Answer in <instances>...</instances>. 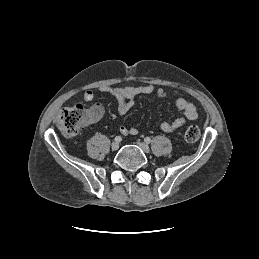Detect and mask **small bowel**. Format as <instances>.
Returning a JSON list of instances; mask_svg holds the SVG:
<instances>
[{"instance_id": "c3829d8e", "label": "small bowel", "mask_w": 259, "mask_h": 259, "mask_svg": "<svg viewBox=\"0 0 259 259\" xmlns=\"http://www.w3.org/2000/svg\"><path fill=\"white\" fill-rule=\"evenodd\" d=\"M101 92L109 93L115 96L118 100V111L120 114L127 113L134 105L135 99L139 95H148L155 93L159 99H165L167 97V92L163 88L156 89L154 85H142V86H110L102 85L98 88ZM85 101H91L94 98V93L92 90H87L83 94ZM176 108L182 113V116L177 117L172 122H163L160 128L166 133H172L178 128L182 127L186 120H195L198 117V112L193 103L187 101L184 98H177L174 102ZM93 121H97L101 118L103 114V108L100 104H95L93 107ZM121 134L127 135H137V128H128L126 126L120 127Z\"/></svg>"}]
</instances>
